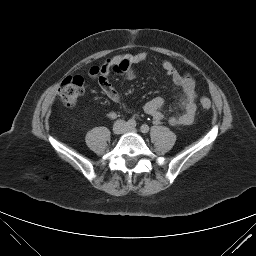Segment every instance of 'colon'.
Instances as JSON below:
<instances>
[{"label":"colon","instance_id":"obj_1","mask_svg":"<svg viewBox=\"0 0 256 256\" xmlns=\"http://www.w3.org/2000/svg\"><path fill=\"white\" fill-rule=\"evenodd\" d=\"M101 67L93 66L90 69V75L93 77H99ZM85 90L84 79L81 76H70L64 79L59 88V96L62 103L66 106H73L77 103L79 98L83 95ZM202 109L209 110L211 108V101L203 97L200 100Z\"/></svg>","mask_w":256,"mask_h":256}]
</instances>
